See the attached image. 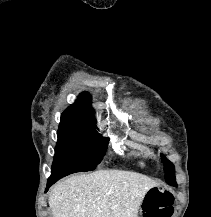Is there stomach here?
Listing matches in <instances>:
<instances>
[{
	"label": "stomach",
	"mask_w": 211,
	"mask_h": 217,
	"mask_svg": "<svg viewBox=\"0 0 211 217\" xmlns=\"http://www.w3.org/2000/svg\"><path fill=\"white\" fill-rule=\"evenodd\" d=\"M141 217H143V213H141Z\"/></svg>",
	"instance_id": "obj_1"
}]
</instances>
